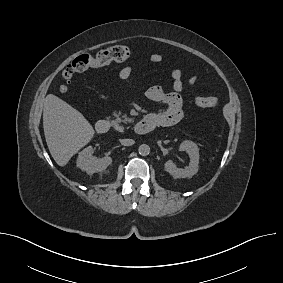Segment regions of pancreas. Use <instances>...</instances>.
Here are the masks:
<instances>
[{"label":"pancreas","mask_w":283,"mask_h":283,"mask_svg":"<svg viewBox=\"0 0 283 283\" xmlns=\"http://www.w3.org/2000/svg\"><path fill=\"white\" fill-rule=\"evenodd\" d=\"M117 116V119L114 121V128L120 132H123L124 131V127L121 123H127V122H132L133 119L132 118H128L126 115H123L122 118L118 117Z\"/></svg>","instance_id":"cf45deb5"}]
</instances>
